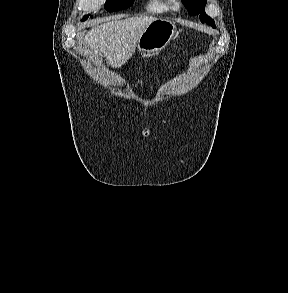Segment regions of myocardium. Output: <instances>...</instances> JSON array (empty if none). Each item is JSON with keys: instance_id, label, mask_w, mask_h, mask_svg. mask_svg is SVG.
Masks as SVG:
<instances>
[{"instance_id": "obj_1", "label": "myocardium", "mask_w": 288, "mask_h": 293, "mask_svg": "<svg viewBox=\"0 0 288 293\" xmlns=\"http://www.w3.org/2000/svg\"><path fill=\"white\" fill-rule=\"evenodd\" d=\"M170 4L174 9H179L181 6V1L180 0H170Z\"/></svg>"}]
</instances>
